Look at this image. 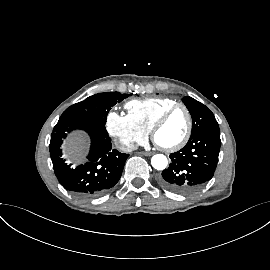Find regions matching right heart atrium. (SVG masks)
I'll return each mask as SVG.
<instances>
[{
  "label": "right heart atrium",
  "instance_id": "1",
  "mask_svg": "<svg viewBox=\"0 0 270 270\" xmlns=\"http://www.w3.org/2000/svg\"><path fill=\"white\" fill-rule=\"evenodd\" d=\"M106 129L126 149H133L142 144L148 137V132L139 126L129 114L116 111L108 113Z\"/></svg>",
  "mask_w": 270,
  "mask_h": 270
}]
</instances>
